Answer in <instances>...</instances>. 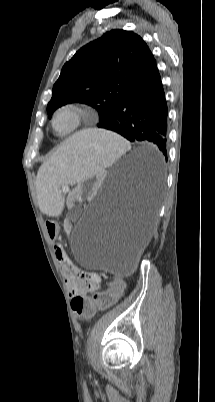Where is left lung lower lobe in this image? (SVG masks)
<instances>
[{
  "label": "left lung lower lobe",
  "mask_w": 215,
  "mask_h": 402,
  "mask_svg": "<svg viewBox=\"0 0 215 402\" xmlns=\"http://www.w3.org/2000/svg\"><path fill=\"white\" fill-rule=\"evenodd\" d=\"M167 103L155 65L98 127L114 131L131 142L154 144L167 159ZM156 186H147L150 207L156 204Z\"/></svg>",
  "instance_id": "0a47b994"
}]
</instances>
